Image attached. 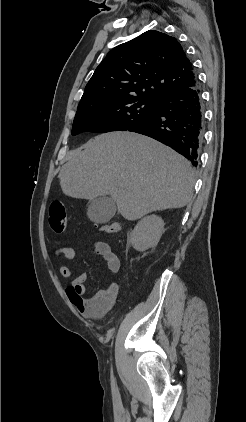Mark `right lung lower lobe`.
I'll use <instances>...</instances> for the list:
<instances>
[{
	"label": "right lung lower lobe",
	"instance_id": "obj_1",
	"mask_svg": "<svg viewBox=\"0 0 246 422\" xmlns=\"http://www.w3.org/2000/svg\"><path fill=\"white\" fill-rule=\"evenodd\" d=\"M153 115L127 131L140 133L171 147L197 167L203 142L204 117L198 83L154 101Z\"/></svg>",
	"mask_w": 246,
	"mask_h": 422
}]
</instances>
